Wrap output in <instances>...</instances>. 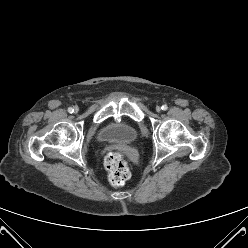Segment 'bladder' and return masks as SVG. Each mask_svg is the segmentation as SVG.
Listing matches in <instances>:
<instances>
[{
  "mask_svg": "<svg viewBox=\"0 0 248 248\" xmlns=\"http://www.w3.org/2000/svg\"><path fill=\"white\" fill-rule=\"evenodd\" d=\"M97 137L100 141L131 143L137 137V130L126 122H112L103 127Z\"/></svg>",
  "mask_w": 248,
  "mask_h": 248,
  "instance_id": "obj_1",
  "label": "bladder"
}]
</instances>
